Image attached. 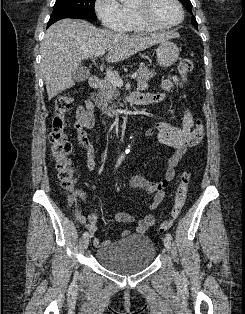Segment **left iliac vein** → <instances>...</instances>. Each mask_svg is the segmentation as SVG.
<instances>
[{
	"label": "left iliac vein",
	"mask_w": 245,
	"mask_h": 314,
	"mask_svg": "<svg viewBox=\"0 0 245 314\" xmlns=\"http://www.w3.org/2000/svg\"><path fill=\"white\" fill-rule=\"evenodd\" d=\"M163 244L166 248V250L169 252L171 250V242H170V239H168L167 237H165L163 239Z\"/></svg>",
	"instance_id": "obj_1"
}]
</instances>
